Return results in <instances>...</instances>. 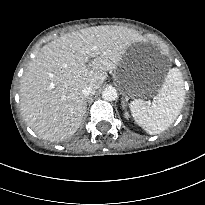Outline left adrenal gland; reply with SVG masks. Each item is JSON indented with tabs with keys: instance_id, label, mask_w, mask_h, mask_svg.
Wrapping results in <instances>:
<instances>
[{
	"instance_id": "left-adrenal-gland-1",
	"label": "left adrenal gland",
	"mask_w": 205,
	"mask_h": 205,
	"mask_svg": "<svg viewBox=\"0 0 205 205\" xmlns=\"http://www.w3.org/2000/svg\"><path fill=\"white\" fill-rule=\"evenodd\" d=\"M121 102H122V107H123V108H125V106H126V102H125V100H124V99H122V101H121Z\"/></svg>"
}]
</instances>
